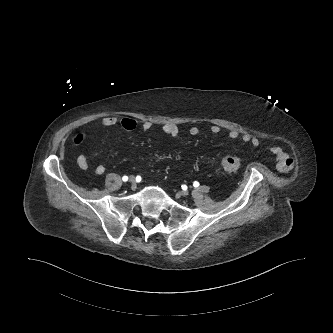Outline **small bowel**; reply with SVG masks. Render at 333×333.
<instances>
[{"label": "small bowel", "instance_id": "obj_1", "mask_svg": "<svg viewBox=\"0 0 333 333\" xmlns=\"http://www.w3.org/2000/svg\"><path fill=\"white\" fill-rule=\"evenodd\" d=\"M118 119L114 116L106 117L99 121L96 125V129H104L107 127H111L117 124ZM120 128L124 131H132L137 127V121L133 118H124L120 121ZM152 123L149 121H145L141 124V128L143 131H149L152 128ZM162 130L165 134L171 136H178L181 133V129L178 125L174 123H166L162 126ZM210 131L212 134H219L220 128L217 125H213L210 127ZM189 133L192 136H196L200 133V128L196 125L191 126L189 129ZM228 137L231 140L241 139L245 143H250L254 147H258L260 145V139L256 136H252L250 134H240L237 130H231L228 133ZM269 151L273 154L278 161V165L285 171H290L294 168V161L289 156L288 153L284 151V149L279 145H272L269 147ZM77 164L79 168L83 171H87L89 169L88 159L85 155H80L77 159ZM106 171L104 164L99 163L95 167L96 175H103Z\"/></svg>", "mask_w": 333, "mask_h": 333}]
</instances>
